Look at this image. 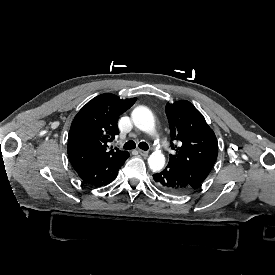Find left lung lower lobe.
Masks as SVG:
<instances>
[{
	"label": "left lung lower lobe",
	"mask_w": 275,
	"mask_h": 275,
	"mask_svg": "<svg viewBox=\"0 0 275 275\" xmlns=\"http://www.w3.org/2000/svg\"><path fill=\"white\" fill-rule=\"evenodd\" d=\"M153 179L160 189L176 195L188 194L194 189L180 174L168 165L162 172L154 174Z\"/></svg>",
	"instance_id": "obj_1"
}]
</instances>
